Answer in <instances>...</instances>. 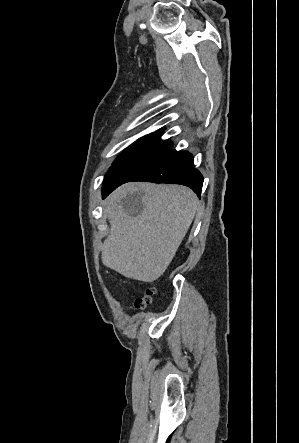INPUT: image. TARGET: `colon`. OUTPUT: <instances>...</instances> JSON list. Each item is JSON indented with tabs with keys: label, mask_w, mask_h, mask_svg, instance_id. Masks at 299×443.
<instances>
[{
	"label": "colon",
	"mask_w": 299,
	"mask_h": 443,
	"mask_svg": "<svg viewBox=\"0 0 299 443\" xmlns=\"http://www.w3.org/2000/svg\"><path fill=\"white\" fill-rule=\"evenodd\" d=\"M155 288H149L146 295L143 298L136 300L134 307L135 309H143L153 301V297L156 295Z\"/></svg>",
	"instance_id": "obj_1"
}]
</instances>
